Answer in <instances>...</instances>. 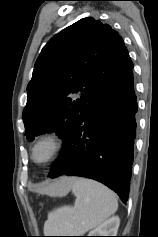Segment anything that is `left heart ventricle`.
<instances>
[{"mask_svg":"<svg viewBox=\"0 0 158 237\" xmlns=\"http://www.w3.org/2000/svg\"><path fill=\"white\" fill-rule=\"evenodd\" d=\"M50 151V145L48 143H43L38 146L36 149L35 157L37 160H42L44 159Z\"/></svg>","mask_w":158,"mask_h":237,"instance_id":"obj_1","label":"left heart ventricle"}]
</instances>
